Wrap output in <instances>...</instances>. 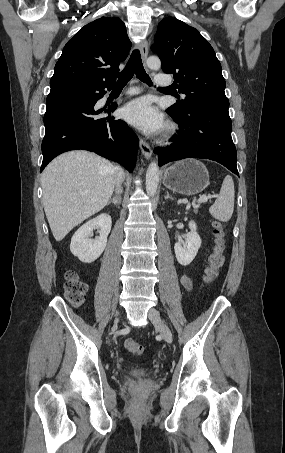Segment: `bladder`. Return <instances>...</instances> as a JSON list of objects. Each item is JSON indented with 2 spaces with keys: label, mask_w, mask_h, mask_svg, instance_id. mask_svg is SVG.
<instances>
[{
  "label": "bladder",
  "mask_w": 285,
  "mask_h": 453,
  "mask_svg": "<svg viewBox=\"0 0 285 453\" xmlns=\"http://www.w3.org/2000/svg\"><path fill=\"white\" fill-rule=\"evenodd\" d=\"M150 370L146 368H134L131 370V374L135 377H145L150 374Z\"/></svg>",
  "instance_id": "bladder-1"
}]
</instances>
